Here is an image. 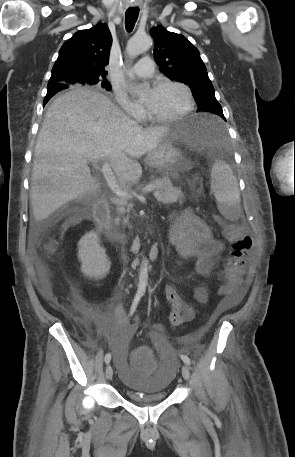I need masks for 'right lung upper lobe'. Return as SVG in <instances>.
I'll list each match as a JSON object with an SVG mask.
<instances>
[{"label": "right lung upper lobe", "instance_id": "obj_1", "mask_svg": "<svg viewBox=\"0 0 295 457\" xmlns=\"http://www.w3.org/2000/svg\"><path fill=\"white\" fill-rule=\"evenodd\" d=\"M112 36L108 26L80 30L61 47L48 86L87 84L90 79H104L109 63Z\"/></svg>", "mask_w": 295, "mask_h": 457}]
</instances>
